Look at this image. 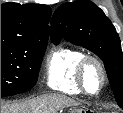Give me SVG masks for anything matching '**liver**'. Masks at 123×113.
<instances>
[{
    "mask_svg": "<svg viewBox=\"0 0 123 113\" xmlns=\"http://www.w3.org/2000/svg\"><path fill=\"white\" fill-rule=\"evenodd\" d=\"M74 101L60 95H43L14 103L1 102V113H56Z\"/></svg>",
    "mask_w": 123,
    "mask_h": 113,
    "instance_id": "6515ba94",
    "label": "liver"
}]
</instances>
